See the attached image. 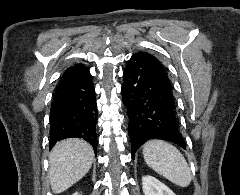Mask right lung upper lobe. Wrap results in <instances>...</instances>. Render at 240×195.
I'll return each instance as SVG.
<instances>
[{
    "label": "right lung upper lobe",
    "mask_w": 240,
    "mask_h": 195,
    "mask_svg": "<svg viewBox=\"0 0 240 195\" xmlns=\"http://www.w3.org/2000/svg\"><path fill=\"white\" fill-rule=\"evenodd\" d=\"M86 70H87V68L83 64H77V65L69 67L62 77L75 76V75L83 73Z\"/></svg>",
    "instance_id": "obj_1"
}]
</instances>
